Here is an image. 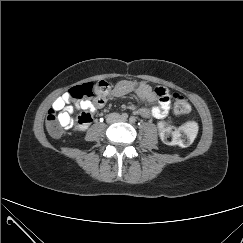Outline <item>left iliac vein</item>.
Masks as SVG:
<instances>
[{"mask_svg":"<svg viewBox=\"0 0 243 243\" xmlns=\"http://www.w3.org/2000/svg\"><path fill=\"white\" fill-rule=\"evenodd\" d=\"M122 121H124V122H125V121H126V119H122Z\"/></svg>","mask_w":243,"mask_h":243,"instance_id":"4c4485c4","label":"left iliac vein"}]
</instances>
